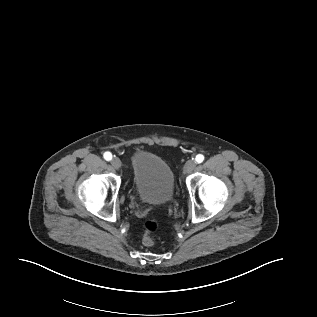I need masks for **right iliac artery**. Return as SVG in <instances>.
<instances>
[{
  "mask_svg": "<svg viewBox=\"0 0 317 317\" xmlns=\"http://www.w3.org/2000/svg\"><path fill=\"white\" fill-rule=\"evenodd\" d=\"M104 159L109 161L112 159V154L110 152H105L104 153Z\"/></svg>",
  "mask_w": 317,
  "mask_h": 317,
  "instance_id": "obj_1",
  "label": "right iliac artery"
}]
</instances>
